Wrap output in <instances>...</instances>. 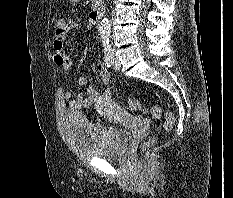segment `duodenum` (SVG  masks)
I'll return each instance as SVG.
<instances>
[{"label": "duodenum", "instance_id": "410a0bca", "mask_svg": "<svg viewBox=\"0 0 233 198\" xmlns=\"http://www.w3.org/2000/svg\"><path fill=\"white\" fill-rule=\"evenodd\" d=\"M102 9L101 8H95L91 13L89 14L88 21L90 24L95 25L99 23V21L102 18Z\"/></svg>", "mask_w": 233, "mask_h": 198}]
</instances>
